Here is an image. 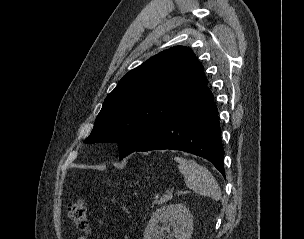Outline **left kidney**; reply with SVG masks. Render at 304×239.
I'll return each instance as SVG.
<instances>
[{
	"mask_svg": "<svg viewBox=\"0 0 304 239\" xmlns=\"http://www.w3.org/2000/svg\"><path fill=\"white\" fill-rule=\"evenodd\" d=\"M159 223L165 227L160 229ZM173 229L170 237L190 239L193 231V215L183 204H171L156 210L144 231V239H164V230Z\"/></svg>",
	"mask_w": 304,
	"mask_h": 239,
	"instance_id": "5707ae66",
	"label": "left kidney"
}]
</instances>
